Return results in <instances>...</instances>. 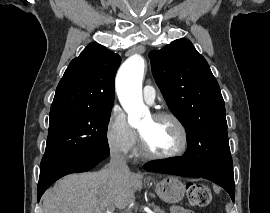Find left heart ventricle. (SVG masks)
<instances>
[{"label": "left heart ventricle", "instance_id": "1", "mask_svg": "<svg viewBox=\"0 0 270 213\" xmlns=\"http://www.w3.org/2000/svg\"><path fill=\"white\" fill-rule=\"evenodd\" d=\"M138 130L153 153L167 154L181 146V132L170 119L155 120L151 116Z\"/></svg>", "mask_w": 270, "mask_h": 213}]
</instances>
